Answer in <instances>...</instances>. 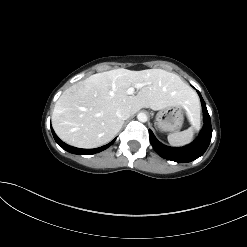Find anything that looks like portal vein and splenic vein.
I'll list each match as a JSON object with an SVG mask.
<instances>
[{
    "instance_id": "portal-vein-and-splenic-vein-1",
    "label": "portal vein and splenic vein",
    "mask_w": 247,
    "mask_h": 247,
    "mask_svg": "<svg viewBox=\"0 0 247 247\" xmlns=\"http://www.w3.org/2000/svg\"><path fill=\"white\" fill-rule=\"evenodd\" d=\"M143 86H145L144 83H137V84L135 85V88H136V89H141ZM135 88H134V87L128 88V89L126 90V94H127V95H132V94L134 93V91H135Z\"/></svg>"
}]
</instances>
